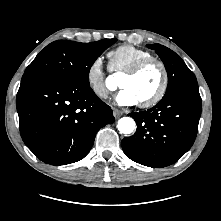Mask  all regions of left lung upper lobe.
<instances>
[{
  "mask_svg": "<svg viewBox=\"0 0 221 221\" xmlns=\"http://www.w3.org/2000/svg\"><path fill=\"white\" fill-rule=\"evenodd\" d=\"M147 46L156 51L165 65L168 87L164 96L184 88H198L194 73L175 52L160 44H148Z\"/></svg>",
  "mask_w": 221,
  "mask_h": 221,
  "instance_id": "1",
  "label": "left lung upper lobe"
}]
</instances>
